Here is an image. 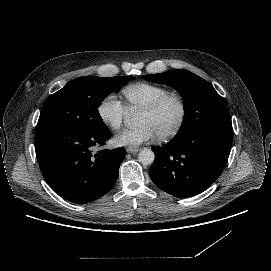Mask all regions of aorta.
<instances>
[{"label": "aorta", "instance_id": "762f6f07", "mask_svg": "<svg viewBox=\"0 0 271 271\" xmlns=\"http://www.w3.org/2000/svg\"><path fill=\"white\" fill-rule=\"evenodd\" d=\"M131 120L132 119L126 120V123L129 126L132 125ZM138 158H139V162L142 165L148 166V165H151L154 162L155 154H154V152L152 150L145 148L142 151H140Z\"/></svg>", "mask_w": 271, "mask_h": 271}]
</instances>
